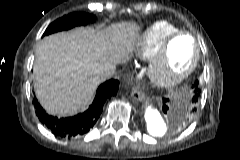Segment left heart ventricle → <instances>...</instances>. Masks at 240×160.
I'll return each instance as SVG.
<instances>
[{
    "instance_id": "b2bd125f",
    "label": "left heart ventricle",
    "mask_w": 240,
    "mask_h": 160,
    "mask_svg": "<svg viewBox=\"0 0 240 160\" xmlns=\"http://www.w3.org/2000/svg\"><path fill=\"white\" fill-rule=\"evenodd\" d=\"M194 54L192 41L188 37L176 39L170 46L165 65L160 73L177 72L184 69Z\"/></svg>"
}]
</instances>
